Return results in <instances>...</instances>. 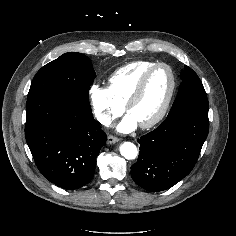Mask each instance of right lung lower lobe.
<instances>
[{
    "instance_id": "obj_1",
    "label": "right lung lower lobe",
    "mask_w": 236,
    "mask_h": 236,
    "mask_svg": "<svg viewBox=\"0 0 236 236\" xmlns=\"http://www.w3.org/2000/svg\"><path fill=\"white\" fill-rule=\"evenodd\" d=\"M25 137L42 175L74 190L93 177L106 134L88 101L41 95L27 99Z\"/></svg>"
}]
</instances>
